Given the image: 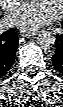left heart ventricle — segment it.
<instances>
[{"label":"left heart ventricle","mask_w":63,"mask_h":107,"mask_svg":"<svg viewBox=\"0 0 63 107\" xmlns=\"http://www.w3.org/2000/svg\"><path fill=\"white\" fill-rule=\"evenodd\" d=\"M40 3L51 13L58 7V0H41Z\"/></svg>","instance_id":"obj_1"}]
</instances>
